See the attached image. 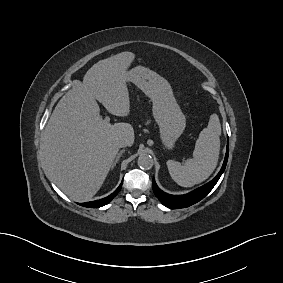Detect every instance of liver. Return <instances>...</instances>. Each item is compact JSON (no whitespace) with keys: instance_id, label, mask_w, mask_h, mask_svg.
<instances>
[{"instance_id":"6515ba94","label":"liver","mask_w":283,"mask_h":283,"mask_svg":"<svg viewBox=\"0 0 283 283\" xmlns=\"http://www.w3.org/2000/svg\"><path fill=\"white\" fill-rule=\"evenodd\" d=\"M134 59L132 52H122L94 64L83 82L74 81L45 127L42 149L48 172L73 201H88L98 192L120 140L134 143L132 125L105 122L96 101L112 115L128 116L127 69Z\"/></svg>"}]
</instances>
